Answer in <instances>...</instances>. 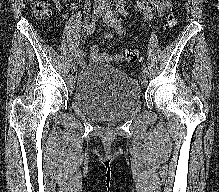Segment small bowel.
<instances>
[{
  "instance_id": "obj_1",
  "label": "small bowel",
  "mask_w": 219,
  "mask_h": 192,
  "mask_svg": "<svg viewBox=\"0 0 219 192\" xmlns=\"http://www.w3.org/2000/svg\"><path fill=\"white\" fill-rule=\"evenodd\" d=\"M171 2L170 0H148V2L143 0H138L135 4V10L141 12L143 17L146 21H149L155 17H162L164 16L166 10L170 7ZM58 11L61 10V5L58 3L56 5ZM111 34H108L110 36ZM103 52L97 47H91V62H99L101 61V55ZM116 60L121 59V55L115 56Z\"/></svg>"
}]
</instances>
